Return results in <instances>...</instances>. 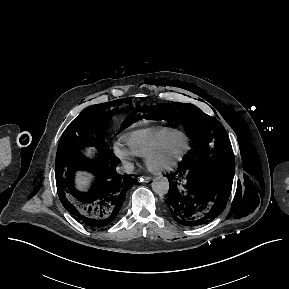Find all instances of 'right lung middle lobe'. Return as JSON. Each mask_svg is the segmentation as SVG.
<instances>
[{"instance_id": "dd1d6c3e", "label": "right lung middle lobe", "mask_w": 289, "mask_h": 289, "mask_svg": "<svg viewBox=\"0 0 289 289\" xmlns=\"http://www.w3.org/2000/svg\"><path fill=\"white\" fill-rule=\"evenodd\" d=\"M130 99H119L103 104L90 106L83 110L64 131L56 154V177L63 180L72 167V163L81 156L80 148L93 146L100 153L107 151L106 141L109 139L108 125L116 109L107 111L110 106L130 103ZM134 109L121 126V131L140 119Z\"/></svg>"}]
</instances>
